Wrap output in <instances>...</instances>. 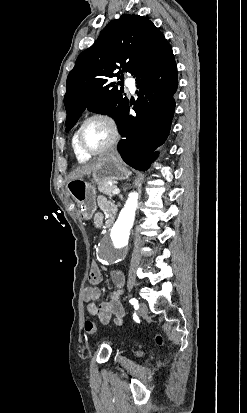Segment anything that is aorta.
<instances>
[{"mask_svg":"<svg viewBox=\"0 0 247 413\" xmlns=\"http://www.w3.org/2000/svg\"><path fill=\"white\" fill-rule=\"evenodd\" d=\"M138 204V193L130 192L129 197L121 210L117 221L115 222L111 236L118 247L125 246L128 243L129 232L135 220V211Z\"/></svg>","mask_w":247,"mask_h":413,"instance_id":"1","label":"aorta"}]
</instances>
